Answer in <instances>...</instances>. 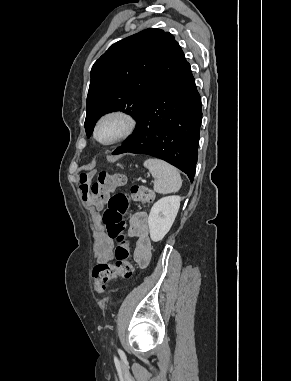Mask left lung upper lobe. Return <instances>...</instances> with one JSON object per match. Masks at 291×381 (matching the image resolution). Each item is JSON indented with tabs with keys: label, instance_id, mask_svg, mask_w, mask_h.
<instances>
[{
	"label": "left lung upper lobe",
	"instance_id": "1",
	"mask_svg": "<svg viewBox=\"0 0 291 381\" xmlns=\"http://www.w3.org/2000/svg\"><path fill=\"white\" fill-rule=\"evenodd\" d=\"M185 61L174 36L160 29L149 28L114 43L91 70L87 137L106 113L122 110L137 120L149 99Z\"/></svg>",
	"mask_w": 291,
	"mask_h": 381
}]
</instances>
